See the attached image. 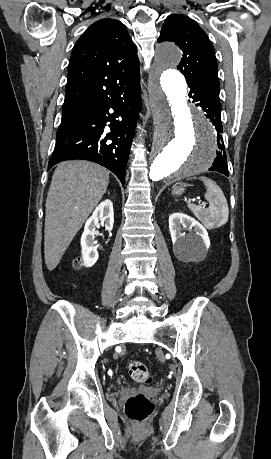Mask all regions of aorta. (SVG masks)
Listing matches in <instances>:
<instances>
[{"mask_svg":"<svg viewBox=\"0 0 271 459\" xmlns=\"http://www.w3.org/2000/svg\"><path fill=\"white\" fill-rule=\"evenodd\" d=\"M179 48H157L149 81L155 131L149 177L173 182L208 170L216 156V134L204 114L187 102V83L176 70Z\"/></svg>","mask_w":271,"mask_h":459,"instance_id":"1","label":"aorta"}]
</instances>
